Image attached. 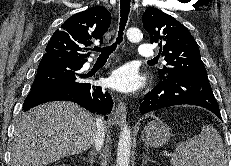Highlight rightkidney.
I'll return each instance as SVG.
<instances>
[{"label": "right kidney", "mask_w": 231, "mask_h": 166, "mask_svg": "<svg viewBox=\"0 0 231 166\" xmlns=\"http://www.w3.org/2000/svg\"><path fill=\"white\" fill-rule=\"evenodd\" d=\"M61 166H69V165H61Z\"/></svg>", "instance_id": "right-kidney-1"}]
</instances>
